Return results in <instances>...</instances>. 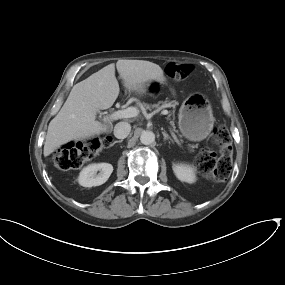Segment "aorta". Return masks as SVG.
<instances>
[{"label": "aorta", "mask_w": 285, "mask_h": 285, "mask_svg": "<svg viewBox=\"0 0 285 285\" xmlns=\"http://www.w3.org/2000/svg\"><path fill=\"white\" fill-rule=\"evenodd\" d=\"M140 141L144 145H150L155 142V134L152 131H143L140 136Z\"/></svg>", "instance_id": "obj_1"}]
</instances>
